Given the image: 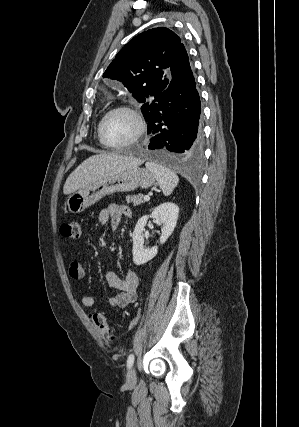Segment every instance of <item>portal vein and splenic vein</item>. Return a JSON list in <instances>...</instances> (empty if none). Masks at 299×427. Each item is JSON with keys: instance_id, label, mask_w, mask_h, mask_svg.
Listing matches in <instances>:
<instances>
[{"instance_id": "obj_1", "label": "portal vein and splenic vein", "mask_w": 299, "mask_h": 427, "mask_svg": "<svg viewBox=\"0 0 299 427\" xmlns=\"http://www.w3.org/2000/svg\"><path fill=\"white\" fill-rule=\"evenodd\" d=\"M144 200H145V201H149V200H150V197H149L148 195H146V196H144Z\"/></svg>"}]
</instances>
